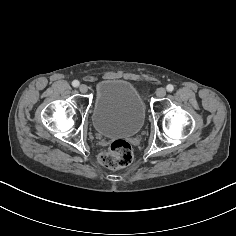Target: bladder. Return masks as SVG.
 Masks as SVG:
<instances>
[{
    "label": "bladder",
    "instance_id": "1",
    "mask_svg": "<svg viewBox=\"0 0 236 236\" xmlns=\"http://www.w3.org/2000/svg\"><path fill=\"white\" fill-rule=\"evenodd\" d=\"M92 122L103 136H134L144 127V101L129 82L102 80L95 87Z\"/></svg>",
    "mask_w": 236,
    "mask_h": 236
}]
</instances>
